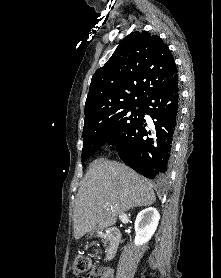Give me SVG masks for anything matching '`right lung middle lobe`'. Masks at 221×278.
Segmentation results:
<instances>
[{
	"label": "right lung middle lobe",
	"mask_w": 221,
	"mask_h": 278,
	"mask_svg": "<svg viewBox=\"0 0 221 278\" xmlns=\"http://www.w3.org/2000/svg\"><path fill=\"white\" fill-rule=\"evenodd\" d=\"M143 103L125 106L118 111L96 120L84 122L82 164L107 142L117 144L143 118Z\"/></svg>",
	"instance_id": "obj_1"
}]
</instances>
